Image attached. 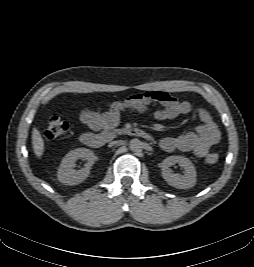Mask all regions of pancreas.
Wrapping results in <instances>:
<instances>
[{
	"instance_id": "1",
	"label": "pancreas",
	"mask_w": 254,
	"mask_h": 267,
	"mask_svg": "<svg viewBox=\"0 0 254 267\" xmlns=\"http://www.w3.org/2000/svg\"><path fill=\"white\" fill-rule=\"evenodd\" d=\"M114 132H120V130H114Z\"/></svg>"
}]
</instances>
